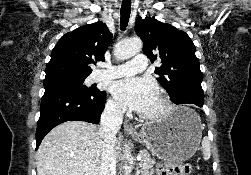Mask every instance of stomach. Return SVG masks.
I'll use <instances>...</instances> for the list:
<instances>
[{"label": "stomach", "mask_w": 251, "mask_h": 175, "mask_svg": "<svg viewBox=\"0 0 251 175\" xmlns=\"http://www.w3.org/2000/svg\"><path fill=\"white\" fill-rule=\"evenodd\" d=\"M202 131L198 113L180 105L161 121L143 123L140 133H135V137L160 159L178 161L190 159L194 155L200 145Z\"/></svg>", "instance_id": "obj_1"}]
</instances>
